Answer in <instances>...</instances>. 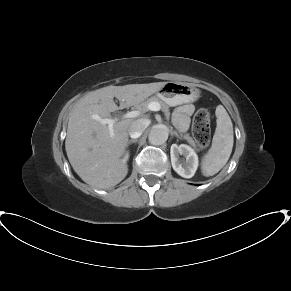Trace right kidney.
Instances as JSON below:
<instances>
[{
	"instance_id": "obj_1",
	"label": "right kidney",
	"mask_w": 291,
	"mask_h": 291,
	"mask_svg": "<svg viewBox=\"0 0 291 291\" xmlns=\"http://www.w3.org/2000/svg\"><path fill=\"white\" fill-rule=\"evenodd\" d=\"M127 159H128V154H126V155H125V157H124V159H123V160L126 162V161H127Z\"/></svg>"
}]
</instances>
